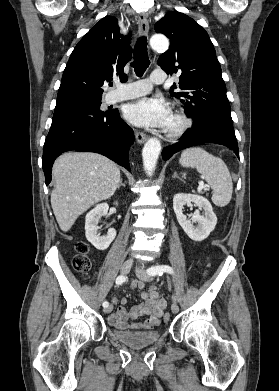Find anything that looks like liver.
I'll list each match as a JSON object with an SVG mask.
<instances>
[{"label":"liver","mask_w":279,"mask_h":391,"mask_svg":"<svg viewBox=\"0 0 279 391\" xmlns=\"http://www.w3.org/2000/svg\"><path fill=\"white\" fill-rule=\"evenodd\" d=\"M52 175L51 205L64 232L92 205L110 198L121 180L113 161L92 152L62 154L53 165Z\"/></svg>","instance_id":"liver-1"}]
</instances>
